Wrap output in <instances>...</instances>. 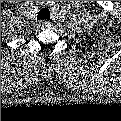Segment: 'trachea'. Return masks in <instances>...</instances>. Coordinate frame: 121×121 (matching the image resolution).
Masks as SVG:
<instances>
[{
    "mask_svg": "<svg viewBox=\"0 0 121 121\" xmlns=\"http://www.w3.org/2000/svg\"><path fill=\"white\" fill-rule=\"evenodd\" d=\"M38 20H50V12L48 9L43 8L38 12V16H37Z\"/></svg>",
    "mask_w": 121,
    "mask_h": 121,
    "instance_id": "obj_1",
    "label": "trachea"
}]
</instances>
